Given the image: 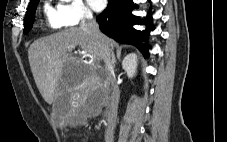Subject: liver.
Segmentation results:
<instances>
[{
	"label": "liver",
	"mask_w": 227,
	"mask_h": 142,
	"mask_svg": "<svg viewBox=\"0 0 227 142\" xmlns=\"http://www.w3.org/2000/svg\"><path fill=\"white\" fill-rule=\"evenodd\" d=\"M104 40L113 48L112 39L104 36ZM79 46L84 57L89 62L80 61L82 68L73 79L63 81L65 66L74 60L71 52ZM28 59L37 88L43 99L52 104L58 97V92L70 93L76 87L90 86L96 88L100 78L95 73V67L101 54L97 42L81 27L66 29L62 32L41 38L33 42L28 49ZM82 104L79 99H73Z\"/></svg>",
	"instance_id": "obj_1"
}]
</instances>
